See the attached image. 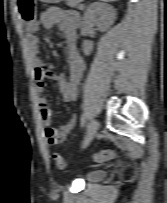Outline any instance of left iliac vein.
Instances as JSON below:
<instances>
[{
    "instance_id": "1",
    "label": "left iliac vein",
    "mask_w": 167,
    "mask_h": 203,
    "mask_svg": "<svg viewBox=\"0 0 167 203\" xmlns=\"http://www.w3.org/2000/svg\"><path fill=\"white\" fill-rule=\"evenodd\" d=\"M98 131V121L96 119H92L88 124L87 131L82 143V147L85 148L92 141V139L96 136Z\"/></svg>"
}]
</instances>
